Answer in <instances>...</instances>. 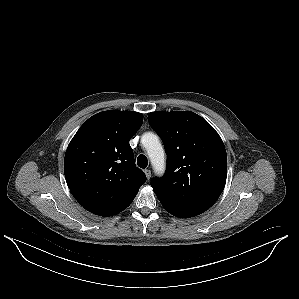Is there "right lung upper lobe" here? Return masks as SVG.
Wrapping results in <instances>:
<instances>
[{
	"instance_id": "cb5924a9",
	"label": "right lung upper lobe",
	"mask_w": 299,
	"mask_h": 299,
	"mask_svg": "<svg viewBox=\"0 0 299 299\" xmlns=\"http://www.w3.org/2000/svg\"><path fill=\"white\" fill-rule=\"evenodd\" d=\"M143 122L132 111H103L90 117L68 145L64 173L74 198L100 216L127 208L146 181L136 167L131 137Z\"/></svg>"
}]
</instances>
